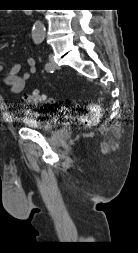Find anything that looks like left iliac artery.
I'll return each mask as SVG.
<instances>
[{
  "label": "left iliac artery",
  "mask_w": 138,
  "mask_h": 253,
  "mask_svg": "<svg viewBox=\"0 0 138 253\" xmlns=\"http://www.w3.org/2000/svg\"><path fill=\"white\" fill-rule=\"evenodd\" d=\"M41 42V40H37L36 41V43H40ZM45 69L47 70V71H51V65H50V63H46L45 64Z\"/></svg>",
  "instance_id": "44dca946"
}]
</instances>
